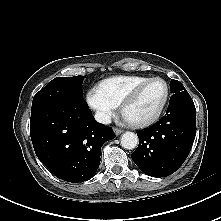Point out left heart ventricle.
<instances>
[{
  "instance_id": "obj_1",
  "label": "left heart ventricle",
  "mask_w": 221,
  "mask_h": 221,
  "mask_svg": "<svg viewBox=\"0 0 221 221\" xmlns=\"http://www.w3.org/2000/svg\"><path fill=\"white\" fill-rule=\"evenodd\" d=\"M164 96V85L161 82L151 83L142 90L138 99L129 106L126 114L132 120L146 119L157 111Z\"/></svg>"
}]
</instances>
